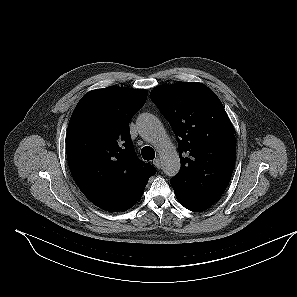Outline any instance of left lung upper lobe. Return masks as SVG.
Instances as JSON below:
<instances>
[{
  "label": "left lung upper lobe",
  "instance_id": "left-lung-upper-lobe-1",
  "mask_svg": "<svg viewBox=\"0 0 297 297\" xmlns=\"http://www.w3.org/2000/svg\"><path fill=\"white\" fill-rule=\"evenodd\" d=\"M150 97L177 136L181 169L171 179L188 210L211 207L226 190L235 166L232 123L216 94L197 82L155 87Z\"/></svg>",
  "mask_w": 297,
  "mask_h": 297
}]
</instances>
